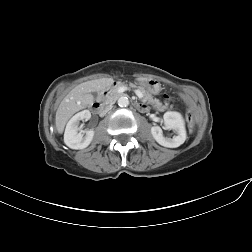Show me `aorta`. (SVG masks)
I'll use <instances>...</instances> for the list:
<instances>
[{
    "label": "aorta",
    "instance_id": "762f6f07",
    "mask_svg": "<svg viewBox=\"0 0 252 252\" xmlns=\"http://www.w3.org/2000/svg\"><path fill=\"white\" fill-rule=\"evenodd\" d=\"M118 105L120 107H127L129 105V99L127 97H120L118 99Z\"/></svg>",
    "mask_w": 252,
    "mask_h": 252
}]
</instances>
